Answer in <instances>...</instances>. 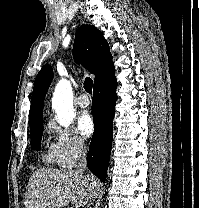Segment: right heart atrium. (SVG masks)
<instances>
[{"label":"right heart atrium","mask_w":199,"mask_h":208,"mask_svg":"<svg viewBox=\"0 0 199 208\" xmlns=\"http://www.w3.org/2000/svg\"><path fill=\"white\" fill-rule=\"evenodd\" d=\"M49 130L55 136L52 152L63 166H72L87 150L85 141L73 135L68 129L59 127L54 121L49 123Z\"/></svg>","instance_id":"obj_1"}]
</instances>
